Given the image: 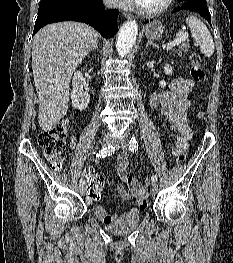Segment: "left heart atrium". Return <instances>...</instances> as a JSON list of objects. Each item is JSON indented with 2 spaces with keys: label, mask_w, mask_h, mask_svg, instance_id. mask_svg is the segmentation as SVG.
I'll use <instances>...</instances> for the list:
<instances>
[{
  "label": "left heart atrium",
  "mask_w": 233,
  "mask_h": 263,
  "mask_svg": "<svg viewBox=\"0 0 233 263\" xmlns=\"http://www.w3.org/2000/svg\"><path fill=\"white\" fill-rule=\"evenodd\" d=\"M133 3H138L139 0H130Z\"/></svg>",
  "instance_id": "obj_1"
}]
</instances>
